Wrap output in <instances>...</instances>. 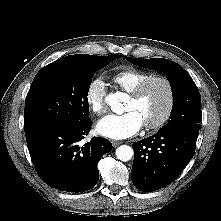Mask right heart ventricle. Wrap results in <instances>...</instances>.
Listing matches in <instances>:
<instances>
[{"instance_id": "e07e8e85", "label": "right heart ventricle", "mask_w": 221, "mask_h": 221, "mask_svg": "<svg viewBox=\"0 0 221 221\" xmlns=\"http://www.w3.org/2000/svg\"><path fill=\"white\" fill-rule=\"evenodd\" d=\"M151 75L135 67H126L114 74L112 81L122 91L130 93L140 82Z\"/></svg>"}]
</instances>
